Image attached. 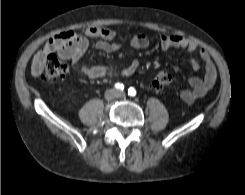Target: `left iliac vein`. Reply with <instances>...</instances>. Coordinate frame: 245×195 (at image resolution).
Wrapping results in <instances>:
<instances>
[{
	"label": "left iliac vein",
	"instance_id": "obj_1",
	"mask_svg": "<svg viewBox=\"0 0 245 195\" xmlns=\"http://www.w3.org/2000/svg\"><path fill=\"white\" fill-rule=\"evenodd\" d=\"M117 93H118L117 96H119V97H123L125 95L124 92H117Z\"/></svg>",
	"mask_w": 245,
	"mask_h": 195
}]
</instances>
